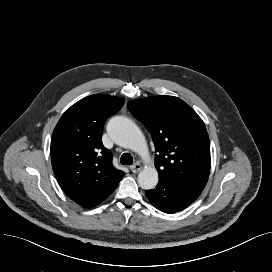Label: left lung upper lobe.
I'll return each mask as SVG.
<instances>
[{
  "instance_id": "obj_1",
  "label": "left lung upper lobe",
  "mask_w": 272,
  "mask_h": 272,
  "mask_svg": "<svg viewBox=\"0 0 272 272\" xmlns=\"http://www.w3.org/2000/svg\"><path fill=\"white\" fill-rule=\"evenodd\" d=\"M127 106L152 135L159 180H175L203 190L210 172V142L198 114L174 96L137 99Z\"/></svg>"
}]
</instances>
